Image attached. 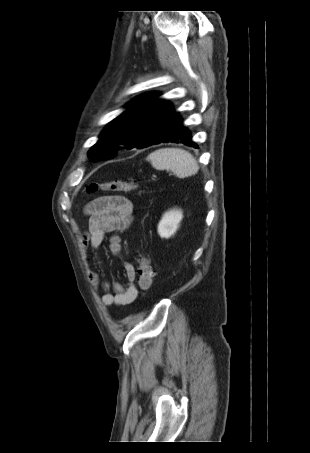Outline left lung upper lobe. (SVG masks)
<instances>
[{
	"instance_id": "obj_1",
	"label": "left lung upper lobe",
	"mask_w": 310,
	"mask_h": 453,
	"mask_svg": "<svg viewBox=\"0 0 310 453\" xmlns=\"http://www.w3.org/2000/svg\"><path fill=\"white\" fill-rule=\"evenodd\" d=\"M156 98V94H145L131 101L127 110L104 129L88 157L106 159L114 156L121 145L141 149L161 140L176 113L170 103Z\"/></svg>"
}]
</instances>
